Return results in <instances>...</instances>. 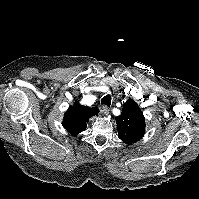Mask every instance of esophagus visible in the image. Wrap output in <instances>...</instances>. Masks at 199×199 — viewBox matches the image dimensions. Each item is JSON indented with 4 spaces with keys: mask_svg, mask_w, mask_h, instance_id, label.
Segmentation results:
<instances>
[{
    "mask_svg": "<svg viewBox=\"0 0 199 199\" xmlns=\"http://www.w3.org/2000/svg\"><path fill=\"white\" fill-rule=\"evenodd\" d=\"M101 111L104 115H108L110 110L107 106H102Z\"/></svg>",
    "mask_w": 199,
    "mask_h": 199,
    "instance_id": "esophagus-1",
    "label": "esophagus"
}]
</instances>
